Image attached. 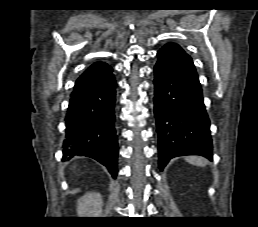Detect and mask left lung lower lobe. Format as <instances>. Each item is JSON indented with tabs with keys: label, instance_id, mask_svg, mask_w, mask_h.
Wrapping results in <instances>:
<instances>
[{
	"label": "left lung lower lobe",
	"instance_id": "1",
	"mask_svg": "<svg viewBox=\"0 0 258 227\" xmlns=\"http://www.w3.org/2000/svg\"><path fill=\"white\" fill-rule=\"evenodd\" d=\"M154 66V114L159 168L186 154L212 160L210 122L191 57L177 44L164 45Z\"/></svg>",
	"mask_w": 258,
	"mask_h": 227
}]
</instances>
